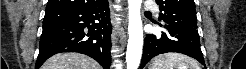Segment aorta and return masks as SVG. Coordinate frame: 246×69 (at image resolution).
Returning a JSON list of instances; mask_svg holds the SVG:
<instances>
[{
    "instance_id": "obj_1",
    "label": "aorta",
    "mask_w": 246,
    "mask_h": 69,
    "mask_svg": "<svg viewBox=\"0 0 246 69\" xmlns=\"http://www.w3.org/2000/svg\"><path fill=\"white\" fill-rule=\"evenodd\" d=\"M142 0H128V45L126 52L127 69H138L143 50V26L141 20Z\"/></svg>"
}]
</instances>
